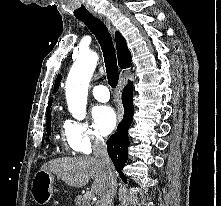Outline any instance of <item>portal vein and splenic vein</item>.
<instances>
[{"mask_svg":"<svg viewBox=\"0 0 221 206\" xmlns=\"http://www.w3.org/2000/svg\"><path fill=\"white\" fill-rule=\"evenodd\" d=\"M85 197L87 199H92L94 197V194L92 192H88V193L85 194Z\"/></svg>","mask_w":221,"mask_h":206,"instance_id":"18ae733b","label":"portal vein and splenic vein"}]
</instances>
